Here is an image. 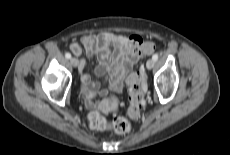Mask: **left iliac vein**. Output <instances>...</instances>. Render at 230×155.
I'll list each match as a JSON object with an SVG mask.
<instances>
[{
	"label": "left iliac vein",
	"instance_id": "left-iliac-vein-1",
	"mask_svg": "<svg viewBox=\"0 0 230 155\" xmlns=\"http://www.w3.org/2000/svg\"><path fill=\"white\" fill-rule=\"evenodd\" d=\"M154 64H155V61L153 59H149L147 62H146V67L148 70H151L153 67H154Z\"/></svg>",
	"mask_w": 230,
	"mask_h": 155
}]
</instances>
